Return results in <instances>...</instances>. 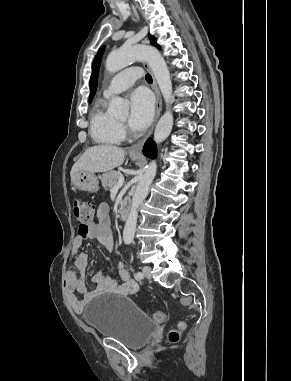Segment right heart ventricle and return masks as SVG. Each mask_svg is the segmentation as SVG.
Wrapping results in <instances>:
<instances>
[{
    "label": "right heart ventricle",
    "instance_id": "obj_1",
    "mask_svg": "<svg viewBox=\"0 0 291 381\" xmlns=\"http://www.w3.org/2000/svg\"><path fill=\"white\" fill-rule=\"evenodd\" d=\"M90 135L93 141L101 145H116L124 139L118 121L106 111V101H97L90 113Z\"/></svg>",
    "mask_w": 291,
    "mask_h": 381
}]
</instances>
